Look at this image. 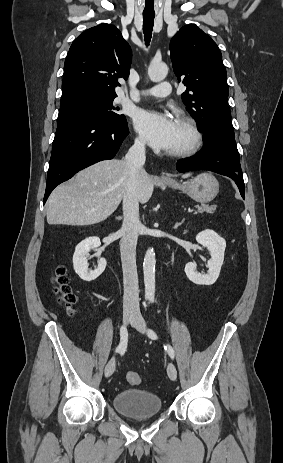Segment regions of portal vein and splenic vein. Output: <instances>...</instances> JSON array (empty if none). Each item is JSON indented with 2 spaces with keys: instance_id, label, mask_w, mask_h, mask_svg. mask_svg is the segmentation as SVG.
<instances>
[{
  "instance_id": "obj_1",
  "label": "portal vein and splenic vein",
  "mask_w": 283,
  "mask_h": 463,
  "mask_svg": "<svg viewBox=\"0 0 283 463\" xmlns=\"http://www.w3.org/2000/svg\"><path fill=\"white\" fill-rule=\"evenodd\" d=\"M192 211H193V209H189V210H188V212H192Z\"/></svg>"
}]
</instances>
